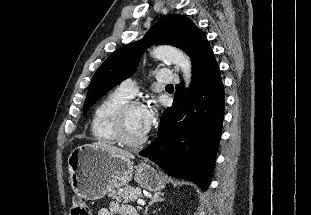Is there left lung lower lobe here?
<instances>
[{
	"instance_id": "left-lung-lower-lobe-1",
	"label": "left lung lower lobe",
	"mask_w": 311,
	"mask_h": 215,
	"mask_svg": "<svg viewBox=\"0 0 311 215\" xmlns=\"http://www.w3.org/2000/svg\"><path fill=\"white\" fill-rule=\"evenodd\" d=\"M188 55L193 75L187 96H183V85H177L173 105L161 118L158 137L139 155L206 191L222 132L225 93L206 36L196 41Z\"/></svg>"
}]
</instances>
